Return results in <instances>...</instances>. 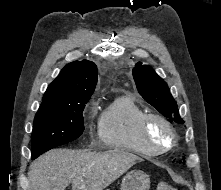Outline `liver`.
Instances as JSON below:
<instances>
[{
	"mask_svg": "<svg viewBox=\"0 0 221 190\" xmlns=\"http://www.w3.org/2000/svg\"><path fill=\"white\" fill-rule=\"evenodd\" d=\"M143 159L129 151L53 149L29 167L30 190H103Z\"/></svg>",
	"mask_w": 221,
	"mask_h": 190,
	"instance_id": "liver-1",
	"label": "liver"
}]
</instances>
